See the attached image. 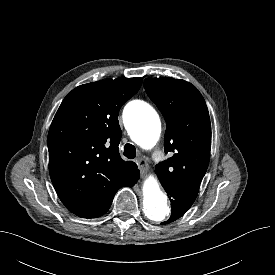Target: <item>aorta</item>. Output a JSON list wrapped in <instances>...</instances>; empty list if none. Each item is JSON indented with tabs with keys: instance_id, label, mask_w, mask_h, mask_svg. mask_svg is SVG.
Segmentation results:
<instances>
[{
	"instance_id": "aorta-1",
	"label": "aorta",
	"mask_w": 275,
	"mask_h": 275,
	"mask_svg": "<svg viewBox=\"0 0 275 275\" xmlns=\"http://www.w3.org/2000/svg\"><path fill=\"white\" fill-rule=\"evenodd\" d=\"M123 119L130 137L140 147L150 149L159 140L161 120L148 103L130 102L124 109ZM143 212L148 220L157 224L170 216L167 197L154 177H149L143 185Z\"/></svg>"
}]
</instances>
